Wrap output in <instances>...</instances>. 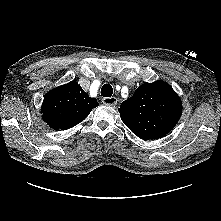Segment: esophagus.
<instances>
[{
	"label": "esophagus",
	"instance_id": "1",
	"mask_svg": "<svg viewBox=\"0 0 221 221\" xmlns=\"http://www.w3.org/2000/svg\"><path fill=\"white\" fill-rule=\"evenodd\" d=\"M117 98L116 97H105L102 99L103 104L113 106L117 104Z\"/></svg>",
	"mask_w": 221,
	"mask_h": 221
}]
</instances>
